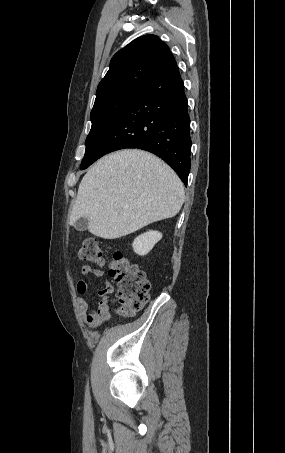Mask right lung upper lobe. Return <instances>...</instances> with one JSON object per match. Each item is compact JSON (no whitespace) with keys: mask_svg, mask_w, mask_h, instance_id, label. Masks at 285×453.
Masks as SVG:
<instances>
[{"mask_svg":"<svg viewBox=\"0 0 285 453\" xmlns=\"http://www.w3.org/2000/svg\"><path fill=\"white\" fill-rule=\"evenodd\" d=\"M176 65L169 47L156 35H144L119 50L98 85L94 106L138 91L157 74Z\"/></svg>","mask_w":285,"mask_h":453,"instance_id":"obj_1","label":"right lung upper lobe"}]
</instances>
